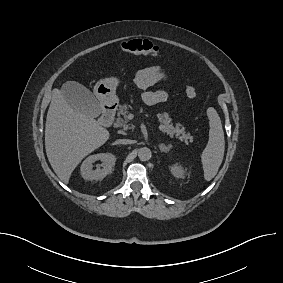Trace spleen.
<instances>
[{"label": "spleen", "instance_id": "3e777b00", "mask_svg": "<svg viewBox=\"0 0 283 283\" xmlns=\"http://www.w3.org/2000/svg\"><path fill=\"white\" fill-rule=\"evenodd\" d=\"M209 119V140L201 154V162L204 170V178L210 181L215 177L223 161L225 140L221 119L213 107L207 110Z\"/></svg>", "mask_w": 283, "mask_h": 283}]
</instances>
